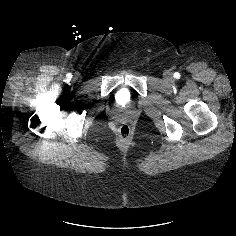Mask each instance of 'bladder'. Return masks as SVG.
Masks as SVG:
<instances>
[{"mask_svg":"<svg viewBox=\"0 0 236 236\" xmlns=\"http://www.w3.org/2000/svg\"><path fill=\"white\" fill-rule=\"evenodd\" d=\"M127 102V98L125 96H120L118 99V103L120 106H124Z\"/></svg>","mask_w":236,"mask_h":236,"instance_id":"obj_1","label":"bladder"}]
</instances>
